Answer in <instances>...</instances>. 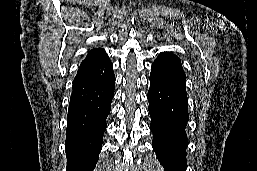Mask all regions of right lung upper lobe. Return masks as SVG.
I'll use <instances>...</instances> for the list:
<instances>
[{
	"mask_svg": "<svg viewBox=\"0 0 257 171\" xmlns=\"http://www.w3.org/2000/svg\"><path fill=\"white\" fill-rule=\"evenodd\" d=\"M106 58H108V56H107L105 50L93 49L88 52L86 59H84L81 64L93 63V62L104 60Z\"/></svg>",
	"mask_w": 257,
	"mask_h": 171,
	"instance_id": "1",
	"label": "right lung upper lobe"
}]
</instances>
